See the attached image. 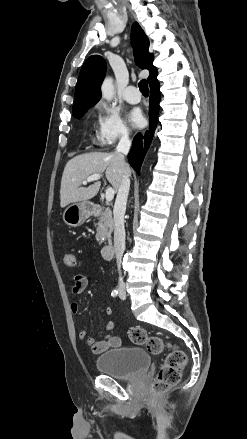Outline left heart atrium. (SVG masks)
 Wrapping results in <instances>:
<instances>
[{
	"label": "left heart atrium",
	"mask_w": 247,
	"mask_h": 439,
	"mask_svg": "<svg viewBox=\"0 0 247 439\" xmlns=\"http://www.w3.org/2000/svg\"><path fill=\"white\" fill-rule=\"evenodd\" d=\"M128 118L134 127H142L145 123L142 112L137 108L130 111Z\"/></svg>",
	"instance_id": "obj_1"
}]
</instances>
